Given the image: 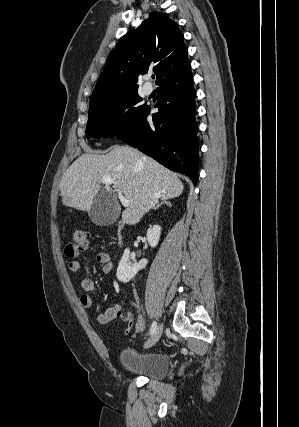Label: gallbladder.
I'll use <instances>...</instances> for the list:
<instances>
[{
  "label": "gallbladder",
  "mask_w": 299,
  "mask_h": 427,
  "mask_svg": "<svg viewBox=\"0 0 299 427\" xmlns=\"http://www.w3.org/2000/svg\"><path fill=\"white\" fill-rule=\"evenodd\" d=\"M88 215L95 225L107 226L113 224L120 215L115 194L106 189H101L94 197Z\"/></svg>",
  "instance_id": "gallbladder-1"
}]
</instances>
